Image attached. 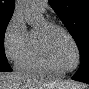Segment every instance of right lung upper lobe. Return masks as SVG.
I'll return each mask as SVG.
<instances>
[{
  "label": "right lung upper lobe",
  "mask_w": 89,
  "mask_h": 89,
  "mask_svg": "<svg viewBox=\"0 0 89 89\" xmlns=\"http://www.w3.org/2000/svg\"><path fill=\"white\" fill-rule=\"evenodd\" d=\"M14 11V0H0V12Z\"/></svg>",
  "instance_id": "right-lung-upper-lobe-1"
}]
</instances>
